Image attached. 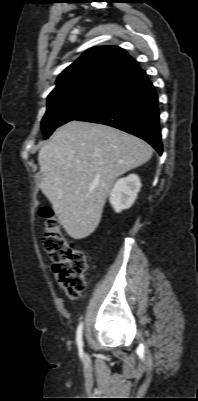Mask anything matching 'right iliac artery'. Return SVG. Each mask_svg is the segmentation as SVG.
<instances>
[{
	"mask_svg": "<svg viewBox=\"0 0 198 401\" xmlns=\"http://www.w3.org/2000/svg\"><path fill=\"white\" fill-rule=\"evenodd\" d=\"M82 330H83V323L81 322L79 324V326L77 328V332H76V342H77L80 353H82V348H83Z\"/></svg>",
	"mask_w": 198,
	"mask_h": 401,
	"instance_id": "right-iliac-artery-1",
	"label": "right iliac artery"
}]
</instances>
